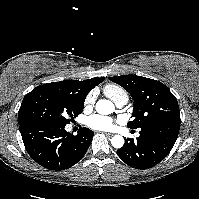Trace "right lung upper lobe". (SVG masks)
Masks as SVG:
<instances>
[{
	"label": "right lung upper lobe",
	"instance_id": "cb5924a9",
	"mask_svg": "<svg viewBox=\"0 0 199 199\" xmlns=\"http://www.w3.org/2000/svg\"><path fill=\"white\" fill-rule=\"evenodd\" d=\"M105 78H92L84 81L64 80L59 82L47 83L37 86L30 93L39 97H44L48 92L57 91L68 95L74 99H85L87 94Z\"/></svg>",
	"mask_w": 199,
	"mask_h": 199
}]
</instances>
